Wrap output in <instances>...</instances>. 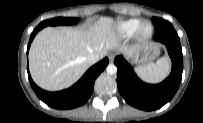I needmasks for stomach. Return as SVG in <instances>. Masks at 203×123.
Instances as JSON below:
<instances>
[{
    "label": "stomach",
    "instance_id": "obj_1",
    "mask_svg": "<svg viewBox=\"0 0 203 123\" xmlns=\"http://www.w3.org/2000/svg\"><path fill=\"white\" fill-rule=\"evenodd\" d=\"M161 53V46L155 43L139 45L131 55L132 62L137 65H146L153 62Z\"/></svg>",
    "mask_w": 203,
    "mask_h": 123
}]
</instances>
